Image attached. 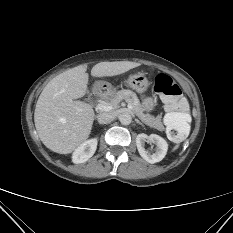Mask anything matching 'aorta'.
Masks as SVG:
<instances>
[{
    "label": "aorta",
    "mask_w": 233,
    "mask_h": 233,
    "mask_svg": "<svg viewBox=\"0 0 233 233\" xmlns=\"http://www.w3.org/2000/svg\"><path fill=\"white\" fill-rule=\"evenodd\" d=\"M119 120L121 122V124L123 125H129L132 121V116L129 114V113H122L120 116H119Z\"/></svg>",
    "instance_id": "obj_1"
}]
</instances>
